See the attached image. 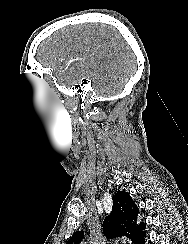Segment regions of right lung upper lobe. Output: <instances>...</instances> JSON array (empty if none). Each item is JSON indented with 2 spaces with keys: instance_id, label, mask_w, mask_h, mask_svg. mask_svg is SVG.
I'll list each match as a JSON object with an SVG mask.
<instances>
[{
  "instance_id": "right-lung-upper-lobe-1",
  "label": "right lung upper lobe",
  "mask_w": 188,
  "mask_h": 244,
  "mask_svg": "<svg viewBox=\"0 0 188 244\" xmlns=\"http://www.w3.org/2000/svg\"><path fill=\"white\" fill-rule=\"evenodd\" d=\"M138 207L131 196L119 191L113 198L111 213L104 219L103 233L107 238L125 236L134 244L144 232L145 224H137ZM83 237V231L75 232L66 244H79Z\"/></svg>"
}]
</instances>
